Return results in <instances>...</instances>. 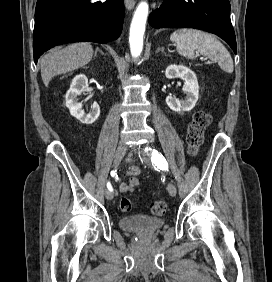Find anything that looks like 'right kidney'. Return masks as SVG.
I'll return each instance as SVG.
<instances>
[{"label": "right kidney", "mask_w": 272, "mask_h": 282, "mask_svg": "<svg viewBox=\"0 0 272 282\" xmlns=\"http://www.w3.org/2000/svg\"><path fill=\"white\" fill-rule=\"evenodd\" d=\"M88 87V79L84 74H79L74 77L71 82L70 88L66 93V107L69 109L70 114L83 124L94 123L100 115V107L94 102L91 106L89 114H85L82 109V104L78 102L77 96Z\"/></svg>", "instance_id": "right-kidney-1"}]
</instances>
